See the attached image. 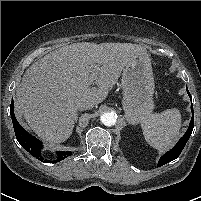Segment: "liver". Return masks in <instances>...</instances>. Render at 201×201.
I'll list each match as a JSON object with an SVG mask.
<instances>
[{
  "mask_svg": "<svg viewBox=\"0 0 201 201\" xmlns=\"http://www.w3.org/2000/svg\"><path fill=\"white\" fill-rule=\"evenodd\" d=\"M143 46L131 43H74L33 63L16 90L17 110L32 130L52 144L67 140L77 121L78 103L103 102L122 70ZM97 87H90L93 66Z\"/></svg>",
  "mask_w": 201,
  "mask_h": 201,
  "instance_id": "6515ba94",
  "label": "liver"
}]
</instances>
